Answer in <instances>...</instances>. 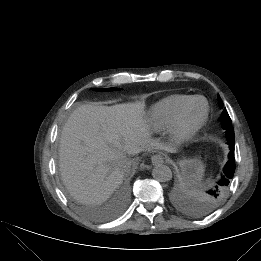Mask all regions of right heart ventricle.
I'll list each match as a JSON object with an SVG mask.
<instances>
[{
    "label": "right heart ventricle",
    "mask_w": 261,
    "mask_h": 261,
    "mask_svg": "<svg viewBox=\"0 0 261 261\" xmlns=\"http://www.w3.org/2000/svg\"><path fill=\"white\" fill-rule=\"evenodd\" d=\"M193 96L172 94L157 101L149 110L148 126L153 132L167 130L174 121L179 109Z\"/></svg>",
    "instance_id": "right-heart-ventricle-1"
}]
</instances>
